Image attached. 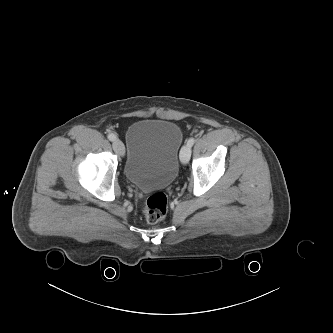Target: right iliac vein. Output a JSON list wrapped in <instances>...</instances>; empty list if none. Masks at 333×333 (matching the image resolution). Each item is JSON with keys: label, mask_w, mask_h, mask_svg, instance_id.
I'll return each instance as SVG.
<instances>
[{"label": "right iliac vein", "mask_w": 333, "mask_h": 333, "mask_svg": "<svg viewBox=\"0 0 333 333\" xmlns=\"http://www.w3.org/2000/svg\"><path fill=\"white\" fill-rule=\"evenodd\" d=\"M114 151L119 155V156H124L125 153V148L124 144L122 143L121 140L115 139L112 143Z\"/></svg>", "instance_id": "right-iliac-vein-1"}]
</instances>
